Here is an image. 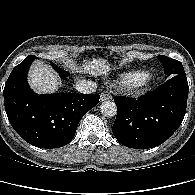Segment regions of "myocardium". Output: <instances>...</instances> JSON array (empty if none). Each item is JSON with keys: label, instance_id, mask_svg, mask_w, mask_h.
<instances>
[{"label": "myocardium", "instance_id": "myocardium-1", "mask_svg": "<svg viewBox=\"0 0 195 195\" xmlns=\"http://www.w3.org/2000/svg\"><path fill=\"white\" fill-rule=\"evenodd\" d=\"M154 76L150 73H145L142 78L137 82L136 86L134 87L135 89L139 91H144L149 89L153 83H154Z\"/></svg>", "mask_w": 195, "mask_h": 195}]
</instances>
